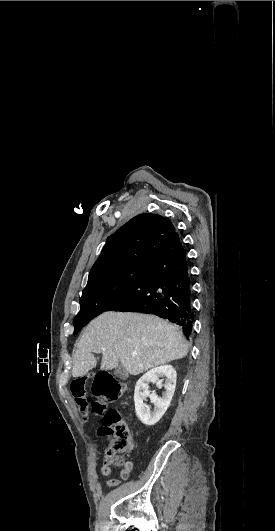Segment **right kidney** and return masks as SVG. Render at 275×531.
I'll return each instance as SVG.
<instances>
[{"mask_svg":"<svg viewBox=\"0 0 275 531\" xmlns=\"http://www.w3.org/2000/svg\"><path fill=\"white\" fill-rule=\"evenodd\" d=\"M159 377H166V381L163 385V379ZM149 383H156L159 389L164 387L165 393L162 397H157V395H150L148 391ZM176 387V371L173 369L172 365H162V367H155L151 371H147L135 385L134 391V403H135V413L140 419L141 423L144 425H156L166 413L171 399L174 395ZM149 397L151 403L155 405L154 411H150V407L144 405L145 399Z\"/></svg>","mask_w":275,"mask_h":531,"instance_id":"1","label":"right kidney"}]
</instances>
